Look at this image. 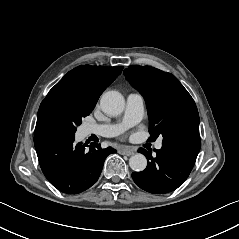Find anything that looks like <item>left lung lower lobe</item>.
<instances>
[{
    "instance_id": "1",
    "label": "left lung lower lobe",
    "mask_w": 239,
    "mask_h": 239,
    "mask_svg": "<svg viewBox=\"0 0 239 239\" xmlns=\"http://www.w3.org/2000/svg\"><path fill=\"white\" fill-rule=\"evenodd\" d=\"M201 148L199 133L181 132L163 139L162 148L150 151L140 148L148 160L142 172H133L132 178L141 189L154 193H168L181 186L188 178Z\"/></svg>"
}]
</instances>
